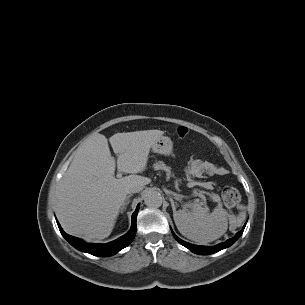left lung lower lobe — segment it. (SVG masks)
Segmentation results:
<instances>
[{"mask_svg":"<svg viewBox=\"0 0 305 305\" xmlns=\"http://www.w3.org/2000/svg\"><path fill=\"white\" fill-rule=\"evenodd\" d=\"M244 228H245V226H244ZM244 228L240 232H238L233 238H230L226 242L220 243V244H218L216 246H212V247L192 245L190 243L182 241L173 232L172 233L180 244H182L183 246H185L192 252H194L196 254H200V255H209V254L216 253L222 249H225V248L231 246L241 236V234L244 231Z\"/></svg>","mask_w":305,"mask_h":305,"instance_id":"0a47b994","label":"left lung lower lobe"}]
</instances>
